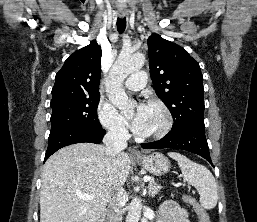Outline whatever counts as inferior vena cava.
I'll use <instances>...</instances> for the list:
<instances>
[{
  "label": "inferior vena cava",
  "mask_w": 257,
  "mask_h": 222,
  "mask_svg": "<svg viewBox=\"0 0 257 222\" xmlns=\"http://www.w3.org/2000/svg\"><path fill=\"white\" fill-rule=\"evenodd\" d=\"M128 139L129 134L124 127L117 124L111 125L103 139L106 155L115 159L127 147ZM123 194L124 189L120 187L117 194L109 201V222H122Z\"/></svg>",
  "instance_id": "1"
}]
</instances>
